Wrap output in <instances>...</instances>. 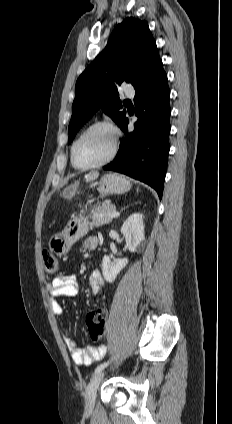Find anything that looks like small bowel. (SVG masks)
Returning <instances> with one entry per match:
<instances>
[{
    "label": "small bowel",
    "instance_id": "c3829d8e",
    "mask_svg": "<svg viewBox=\"0 0 232 424\" xmlns=\"http://www.w3.org/2000/svg\"><path fill=\"white\" fill-rule=\"evenodd\" d=\"M98 246L96 237H88L82 242V248L85 250H93ZM89 287L93 294H97L102 288V278L98 271H93L88 277ZM46 290L50 295L49 304L52 313L56 317L64 315V308L58 301V297H75L78 295V281L74 274L60 275L52 279L46 285ZM64 341L70 356L74 363L78 365H91L95 361L101 359L106 352L104 346H89L80 349L75 340L69 335L64 334Z\"/></svg>",
    "mask_w": 232,
    "mask_h": 424
}]
</instances>
